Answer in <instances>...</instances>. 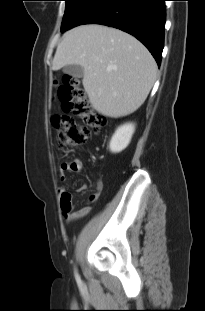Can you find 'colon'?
Returning <instances> with one entry per match:
<instances>
[{
	"label": "colon",
	"instance_id": "1",
	"mask_svg": "<svg viewBox=\"0 0 205 311\" xmlns=\"http://www.w3.org/2000/svg\"><path fill=\"white\" fill-rule=\"evenodd\" d=\"M56 87L55 99L61 104L64 115H55L52 123L58 131V145L63 150L74 149L85 143L93 132L105 126V119L97 114L88 101L77 78L65 75ZM72 114L81 120L77 122Z\"/></svg>",
	"mask_w": 205,
	"mask_h": 311
}]
</instances>
